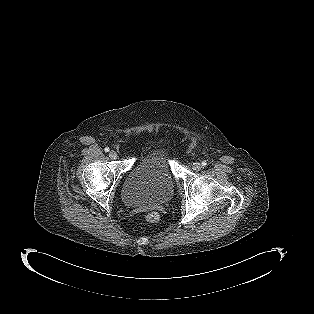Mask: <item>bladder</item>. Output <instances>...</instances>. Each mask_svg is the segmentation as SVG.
Returning a JSON list of instances; mask_svg holds the SVG:
<instances>
[{
    "label": "bladder",
    "mask_w": 314,
    "mask_h": 314,
    "mask_svg": "<svg viewBox=\"0 0 314 314\" xmlns=\"http://www.w3.org/2000/svg\"><path fill=\"white\" fill-rule=\"evenodd\" d=\"M174 193V177L168 152L153 147L141 156L127 175L122 200L133 208H153L167 203Z\"/></svg>",
    "instance_id": "bladder-1"
}]
</instances>
